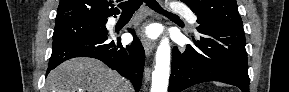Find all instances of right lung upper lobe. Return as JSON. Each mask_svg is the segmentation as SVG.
I'll use <instances>...</instances> for the list:
<instances>
[{
	"label": "right lung upper lobe",
	"mask_w": 289,
	"mask_h": 92,
	"mask_svg": "<svg viewBox=\"0 0 289 92\" xmlns=\"http://www.w3.org/2000/svg\"><path fill=\"white\" fill-rule=\"evenodd\" d=\"M118 13L119 11L114 8L112 1L60 0L56 23L73 20L107 21L109 16L113 14L115 16Z\"/></svg>",
	"instance_id": "right-lung-upper-lobe-1"
}]
</instances>
